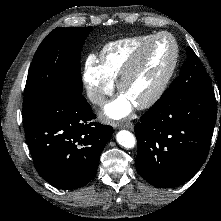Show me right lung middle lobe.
Here are the masks:
<instances>
[{
    "label": "right lung middle lobe",
    "mask_w": 221,
    "mask_h": 221,
    "mask_svg": "<svg viewBox=\"0 0 221 221\" xmlns=\"http://www.w3.org/2000/svg\"><path fill=\"white\" fill-rule=\"evenodd\" d=\"M92 27L53 30L37 49L24 92L22 117L47 97L62 92H82L80 57Z\"/></svg>",
    "instance_id": "dd1d6c3e"
}]
</instances>
